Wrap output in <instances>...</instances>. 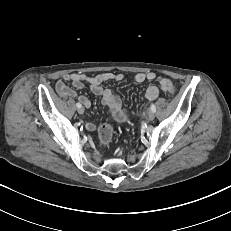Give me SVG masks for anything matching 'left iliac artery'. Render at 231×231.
<instances>
[{"label": "left iliac artery", "instance_id": "1", "mask_svg": "<svg viewBox=\"0 0 231 231\" xmlns=\"http://www.w3.org/2000/svg\"><path fill=\"white\" fill-rule=\"evenodd\" d=\"M150 109L152 112H156V107L154 104H151Z\"/></svg>", "mask_w": 231, "mask_h": 231}]
</instances>
